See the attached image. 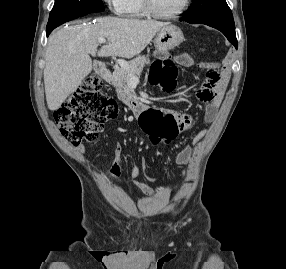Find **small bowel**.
Returning <instances> with one entry per match:
<instances>
[{"mask_svg":"<svg viewBox=\"0 0 286 269\" xmlns=\"http://www.w3.org/2000/svg\"><path fill=\"white\" fill-rule=\"evenodd\" d=\"M175 61L177 64L183 67H190L195 64V60L193 56L189 53H182L175 57ZM214 66L218 68L217 75L212 77H218L216 84L213 88H208L207 85L202 84L197 90V96L206 103L205 109V121L208 124L213 123L218 115V110L221 105L223 94L227 83L230 78V67L227 62L213 63ZM199 66L204 69L208 70L210 68L209 62H201ZM115 93H128V88H115ZM120 99H133V94H120ZM163 109V113H168L172 116L173 121H176V126L179 130V133L182 131L188 130L191 125L193 118L190 114L187 113H177L174 111L169 110L168 108H161ZM141 112L140 111H133L132 112V120H140L141 119ZM145 127V126H144ZM208 131L206 129L201 130L195 137V142L200 141L207 135ZM80 150H84V147H80ZM122 153L123 148L120 144H117L114 149L113 154V163L109 169V174L113 179H117L121 172H122ZM192 152L189 147L184 148L180 153L177 154L175 157V163L177 165H186L191 161ZM128 174L132 180V182L136 185L138 190L143 193L144 195H151L152 189L143 181H139L138 177L140 175V169L137 166H133L128 170ZM182 178L184 179L187 175V171L185 168L181 170ZM151 181L156 182L159 180L157 177H151ZM182 183H178L172 187H164L161 189L162 192H171L179 189Z\"/></svg>","mask_w":286,"mask_h":269,"instance_id":"c3829d8e","label":"small bowel"}]
</instances>
